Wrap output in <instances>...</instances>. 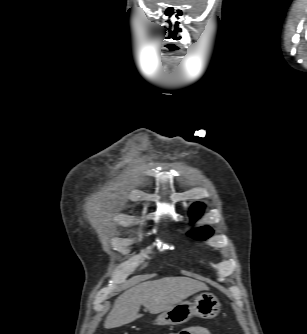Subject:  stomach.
<instances>
[{
	"label": "stomach",
	"mask_w": 307,
	"mask_h": 334,
	"mask_svg": "<svg viewBox=\"0 0 307 334\" xmlns=\"http://www.w3.org/2000/svg\"><path fill=\"white\" fill-rule=\"evenodd\" d=\"M221 304L212 293L203 292L193 302L182 301L163 311L155 320L157 325H180L193 316L211 319L220 312Z\"/></svg>",
	"instance_id": "1"
}]
</instances>
